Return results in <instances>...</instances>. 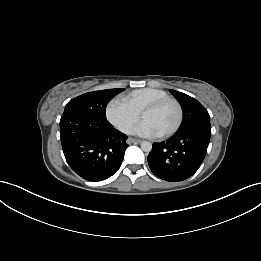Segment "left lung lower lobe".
<instances>
[{"label": "left lung lower lobe", "mask_w": 261, "mask_h": 261, "mask_svg": "<svg viewBox=\"0 0 261 261\" xmlns=\"http://www.w3.org/2000/svg\"><path fill=\"white\" fill-rule=\"evenodd\" d=\"M210 136L211 125L204 122L180 128L165 142L153 143L148 155L151 171L166 181L188 179L199 169Z\"/></svg>", "instance_id": "obj_1"}]
</instances>
